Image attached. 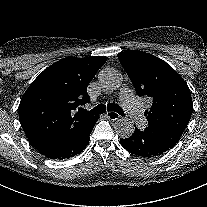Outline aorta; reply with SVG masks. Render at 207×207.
<instances>
[{"instance_id":"aorta-1","label":"aorta","mask_w":207,"mask_h":207,"mask_svg":"<svg viewBox=\"0 0 207 207\" xmlns=\"http://www.w3.org/2000/svg\"><path fill=\"white\" fill-rule=\"evenodd\" d=\"M98 80L104 90L112 91L121 86L123 77L118 70L107 67L99 72ZM114 129L120 138L127 139L132 136L135 127L129 119L121 118L115 122Z\"/></svg>"}]
</instances>
